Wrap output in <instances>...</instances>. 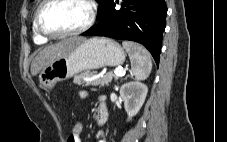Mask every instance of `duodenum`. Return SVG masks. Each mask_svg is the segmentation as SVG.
<instances>
[{"mask_svg": "<svg viewBox=\"0 0 227 142\" xmlns=\"http://www.w3.org/2000/svg\"><path fill=\"white\" fill-rule=\"evenodd\" d=\"M96 119H97V123L100 126L104 125L108 119V109H107V106L104 101L101 102L99 105L98 114H97Z\"/></svg>", "mask_w": 227, "mask_h": 142, "instance_id": "obj_1", "label": "duodenum"}]
</instances>
